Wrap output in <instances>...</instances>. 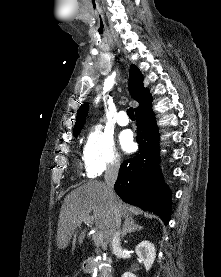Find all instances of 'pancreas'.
Listing matches in <instances>:
<instances>
[{"mask_svg":"<svg viewBox=\"0 0 221 277\" xmlns=\"http://www.w3.org/2000/svg\"><path fill=\"white\" fill-rule=\"evenodd\" d=\"M98 277H109L108 269L106 267H102L100 270L97 272Z\"/></svg>","mask_w":221,"mask_h":277,"instance_id":"cf45deb5","label":"pancreas"}]
</instances>
